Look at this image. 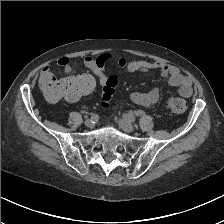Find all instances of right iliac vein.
Returning <instances> with one entry per match:
<instances>
[{"mask_svg":"<svg viewBox=\"0 0 224 224\" xmlns=\"http://www.w3.org/2000/svg\"><path fill=\"white\" fill-rule=\"evenodd\" d=\"M85 125L88 127V128H93L94 127V122L91 120V119H87L85 121Z\"/></svg>","mask_w":224,"mask_h":224,"instance_id":"right-iliac-vein-1","label":"right iliac vein"}]
</instances>
